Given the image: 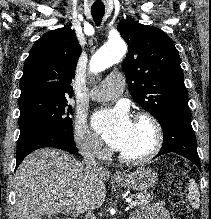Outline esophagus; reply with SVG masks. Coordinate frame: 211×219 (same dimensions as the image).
<instances>
[{
  "mask_svg": "<svg viewBox=\"0 0 211 219\" xmlns=\"http://www.w3.org/2000/svg\"><path fill=\"white\" fill-rule=\"evenodd\" d=\"M114 175H115V177H120L122 175V173L119 171H116Z\"/></svg>",
  "mask_w": 211,
  "mask_h": 219,
  "instance_id": "1",
  "label": "esophagus"
}]
</instances>
